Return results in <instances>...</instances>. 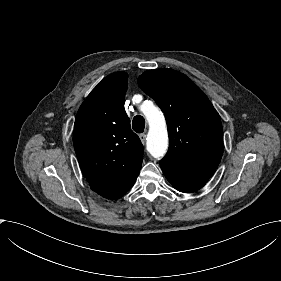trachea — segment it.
<instances>
[{"instance_id": "obj_1", "label": "trachea", "mask_w": 281, "mask_h": 281, "mask_svg": "<svg viewBox=\"0 0 281 281\" xmlns=\"http://www.w3.org/2000/svg\"><path fill=\"white\" fill-rule=\"evenodd\" d=\"M132 126H133V130L136 133H142L144 131V128H145L144 118L140 115L135 116L133 118Z\"/></svg>"}]
</instances>
